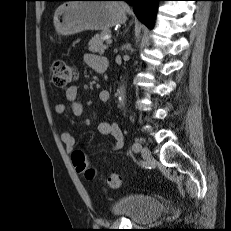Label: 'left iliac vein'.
I'll return each mask as SVG.
<instances>
[{"label":"left iliac vein","instance_id":"obj_1","mask_svg":"<svg viewBox=\"0 0 231 231\" xmlns=\"http://www.w3.org/2000/svg\"><path fill=\"white\" fill-rule=\"evenodd\" d=\"M141 155L144 161L150 162L152 160V154L148 147H143L141 150Z\"/></svg>","mask_w":231,"mask_h":231}]
</instances>
